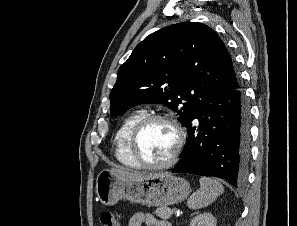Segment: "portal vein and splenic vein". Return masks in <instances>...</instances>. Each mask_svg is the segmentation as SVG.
Returning <instances> with one entry per match:
<instances>
[{
	"label": "portal vein and splenic vein",
	"instance_id": "portal-vein-and-splenic-vein-1",
	"mask_svg": "<svg viewBox=\"0 0 297 226\" xmlns=\"http://www.w3.org/2000/svg\"><path fill=\"white\" fill-rule=\"evenodd\" d=\"M172 211H173L174 213H176V212H177V209H176V208H174V209H172Z\"/></svg>",
	"mask_w": 297,
	"mask_h": 226
}]
</instances>
